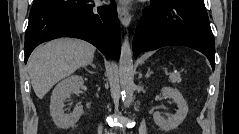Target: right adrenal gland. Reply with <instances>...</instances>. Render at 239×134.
<instances>
[{
  "instance_id": "obj_1",
  "label": "right adrenal gland",
  "mask_w": 239,
  "mask_h": 134,
  "mask_svg": "<svg viewBox=\"0 0 239 134\" xmlns=\"http://www.w3.org/2000/svg\"><path fill=\"white\" fill-rule=\"evenodd\" d=\"M90 66H92L93 68H96L95 64H93V60L89 63Z\"/></svg>"
}]
</instances>
